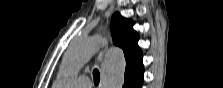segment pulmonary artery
<instances>
[{
  "label": "pulmonary artery",
  "mask_w": 223,
  "mask_h": 88,
  "mask_svg": "<svg viewBox=\"0 0 223 88\" xmlns=\"http://www.w3.org/2000/svg\"><path fill=\"white\" fill-rule=\"evenodd\" d=\"M75 85L79 88H89L92 83L87 76L82 75L75 81Z\"/></svg>",
  "instance_id": "pulmonary-artery-1"
}]
</instances>
